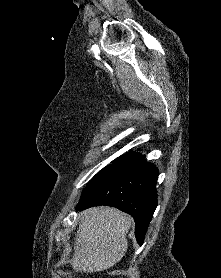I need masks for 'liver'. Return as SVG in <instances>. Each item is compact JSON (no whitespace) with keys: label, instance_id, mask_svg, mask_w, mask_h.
I'll return each mask as SVG.
<instances>
[{"label":"liver","instance_id":"6515ba94","mask_svg":"<svg viewBox=\"0 0 221 278\" xmlns=\"http://www.w3.org/2000/svg\"><path fill=\"white\" fill-rule=\"evenodd\" d=\"M131 216L111 207H94L80 214V223L71 260L76 272L107 270L127 252Z\"/></svg>","mask_w":221,"mask_h":278}]
</instances>
